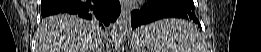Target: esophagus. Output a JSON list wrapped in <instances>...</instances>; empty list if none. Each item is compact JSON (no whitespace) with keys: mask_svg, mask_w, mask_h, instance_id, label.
<instances>
[{"mask_svg":"<svg viewBox=\"0 0 261 52\" xmlns=\"http://www.w3.org/2000/svg\"><path fill=\"white\" fill-rule=\"evenodd\" d=\"M130 15V9L127 6L122 7L121 9V17L128 19Z\"/></svg>","mask_w":261,"mask_h":52,"instance_id":"obj_1","label":"esophagus"}]
</instances>
